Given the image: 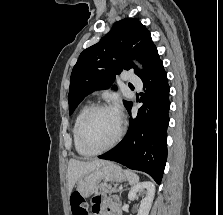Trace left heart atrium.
Instances as JSON below:
<instances>
[{
	"mask_svg": "<svg viewBox=\"0 0 223 215\" xmlns=\"http://www.w3.org/2000/svg\"><path fill=\"white\" fill-rule=\"evenodd\" d=\"M112 110L120 117V103L119 101H115L114 106L112 107Z\"/></svg>",
	"mask_w": 223,
	"mask_h": 215,
	"instance_id": "39dd6f15",
	"label": "left heart atrium"
}]
</instances>
